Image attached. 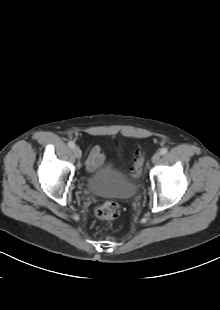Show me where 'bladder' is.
<instances>
[{
    "mask_svg": "<svg viewBox=\"0 0 220 310\" xmlns=\"http://www.w3.org/2000/svg\"><path fill=\"white\" fill-rule=\"evenodd\" d=\"M87 188L94 194L130 199L136 192L135 184L110 162H104L86 180Z\"/></svg>",
    "mask_w": 220,
    "mask_h": 310,
    "instance_id": "1",
    "label": "bladder"
}]
</instances>
